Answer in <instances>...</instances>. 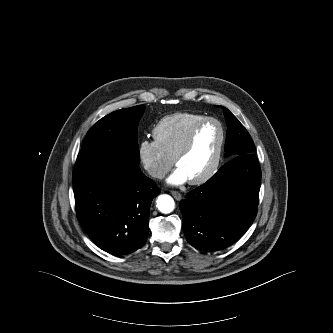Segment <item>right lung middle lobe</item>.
<instances>
[{
	"instance_id": "dd1d6c3e",
	"label": "right lung middle lobe",
	"mask_w": 333,
	"mask_h": 333,
	"mask_svg": "<svg viewBox=\"0 0 333 333\" xmlns=\"http://www.w3.org/2000/svg\"><path fill=\"white\" fill-rule=\"evenodd\" d=\"M143 113L139 105L106 115L88 131L81 153L116 151L139 163L137 127Z\"/></svg>"
}]
</instances>
